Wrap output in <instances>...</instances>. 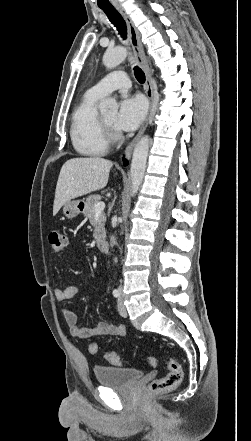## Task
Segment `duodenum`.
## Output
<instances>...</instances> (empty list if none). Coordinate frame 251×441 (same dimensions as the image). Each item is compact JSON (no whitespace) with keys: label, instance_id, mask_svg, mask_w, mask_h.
Instances as JSON below:
<instances>
[{"label":"duodenum","instance_id":"duodenum-1","mask_svg":"<svg viewBox=\"0 0 251 441\" xmlns=\"http://www.w3.org/2000/svg\"><path fill=\"white\" fill-rule=\"evenodd\" d=\"M98 248L101 252H108L109 250V243L107 240H101L98 242Z\"/></svg>","mask_w":251,"mask_h":441}]
</instances>
